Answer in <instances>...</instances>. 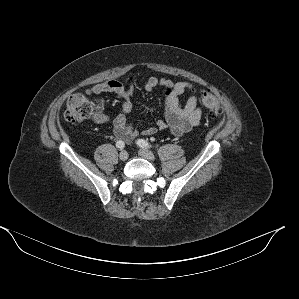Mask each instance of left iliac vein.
Listing matches in <instances>:
<instances>
[{
    "mask_svg": "<svg viewBox=\"0 0 299 299\" xmlns=\"http://www.w3.org/2000/svg\"><path fill=\"white\" fill-rule=\"evenodd\" d=\"M138 153L141 157H143L145 159H148V160H151V161H153L155 159L154 154L151 151L147 150V149H140Z\"/></svg>",
    "mask_w": 299,
    "mask_h": 299,
    "instance_id": "left-iliac-vein-1",
    "label": "left iliac vein"
}]
</instances>
